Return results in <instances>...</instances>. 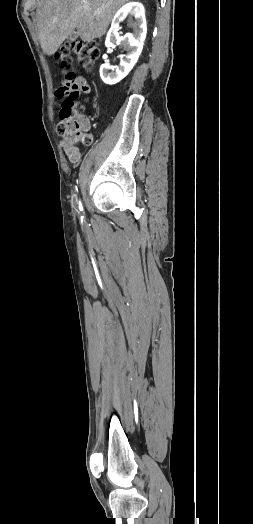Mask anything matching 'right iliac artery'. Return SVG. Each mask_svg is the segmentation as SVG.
<instances>
[{
    "label": "right iliac artery",
    "instance_id": "right-iliac-artery-1",
    "mask_svg": "<svg viewBox=\"0 0 253 524\" xmlns=\"http://www.w3.org/2000/svg\"><path fill=\"white\" fill-rule=\"evenodd\" d=\"M72 203H73V207L75 208V210H76L78 213H82V211H83V207H82L81 201L78 199L77 196L74 197Z\"/></svg>",
    "mask_w": 253,
    "mask_h": 524
}]
</instances>
